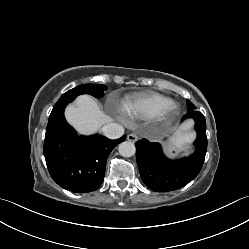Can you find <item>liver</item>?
<instances>
[{"instance_id":"obj_1","label":"liver","mask_w":249,"mask_h":249,"mask_svg":"<svg viewBox=\"0 0 249 249\" xmlns=\"http://www.w3.org/2000/svg\"><path fill=\"white\" fill-rule=\"evenodd\" d=\"M65 117L80 134L84 135L93 134L103 124L112 121V118L106 115L89 95H81L76 99L75 104L69 105L65 110ZM185 128L186 125L181 130ZM177 138L182 143H186L191 140L192 135L179 133Z\"/></svg>"}]
</instances>
